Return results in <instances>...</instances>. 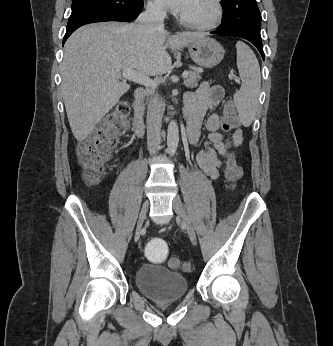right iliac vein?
Wrapping results in <instances>:
<instances>
[{
    "instance_id": "obj_1",
    "label": "right iliac vein",
    "mask_w": 333,
    "mask_h": 346,
    "mask_svg": "<svg viewBox=\"0 0 333 346\" xmlns=\"http://www.w3.org/2000/svg\"><path fill=\"white\" fill-rule=\"evenodd\" d=\"M148 207H149V202L145 201L143 206H142L140 215H139V219H138V223H137V229H136V236H139V234H140L142 225H143V223H144V221L146 219V214H147V211H148Z\"/></svg>"
}]
</instances>
